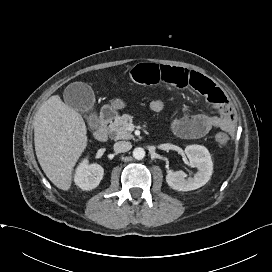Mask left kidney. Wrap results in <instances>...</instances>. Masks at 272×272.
<instances>
[{
    "label": "left kidney",
    "mask_w": 272,
    "mask_h": 272,
    "mask_svg": "<svg viewBox=\"0 0 272 272\" xmlns=\"http://www.w3.org/2000/svg\"><path fill=\"white\" fill-rule=\"evenodd\" d=\"M185 154L191 167L198 169L193 177H187L183 171H170L166 176L168 185L178 191H191L204 186L213 172V162L208 149L201 145H189Z\"/></svg>",
    "instance_id": "1"
}]
</instances>
